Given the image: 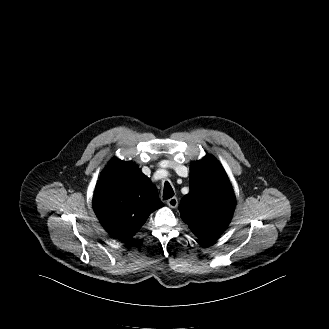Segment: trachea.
Segmentation results:
<instances>
[{"label": "trachea", "instance_id": "trachea-1", "mask_svg": "<svg viewBox=\"0 0 329 329\" xmlns=\"http://www.w3.org/2000/svg\"><path fill=\"white\" fill-rule=\"evenodd\" d=\"M174 196V191L169 184V182L164 183V190H163V198L164 199H170L171 197Z\"/></svg>", "mask_w": 329, "mask_h": 329}]
</instances>
